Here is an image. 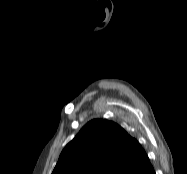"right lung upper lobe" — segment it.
<instances>
[{"mask_svg": "<svg viewBox=\"0 0 187 174\" xmlns=\"http://www.w3.org/2000/svg\"><path fill=\"white\" fill-rule=\"evenodd\" d=\"M52 174H155L136 139L112 121L88 122L62 151Z\"/></svg>", "mask_w": 187, "mask_h": 174, "instance_id": "1", "label": "right lung upper lobe"}]
</instances>
